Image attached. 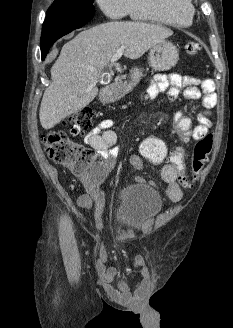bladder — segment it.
Returning <instances> with one entry per match:
<instances>
[{
	"mask_svg": "<svg viewBox=\"0 0 233 328\" xmlns=\"http://www.w3.org/2000/svg\"><path fill=\"white\" fill-rule=\"evenodd\" d=\"M159 192L145 184H130L116 195L117 219L127 227H140L154 219L162 210Z\"/></svg>",
	"mask_w": 233,
	"mask_h": 328,
	"instance_id": "obj_1",
	"label": "bladder"
}]
</instances>
